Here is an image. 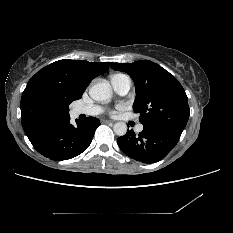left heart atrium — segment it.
<instances>
[{
    "instance_id": "1",
    "label": "left heart atrium",
    "mask_w": 233,
    "mask_h": 233,
    "mask_svg": "<svg viewBox=\"0 0 233 233\" xmlns=\"http://www.w3.org/2000/svg\"><path fill=\"white\" fill-rule=\"evenodd\" d=\"M116 108L117 110H123L125 106L123 104H118Z\"/></svg>"
}]
</instances>
